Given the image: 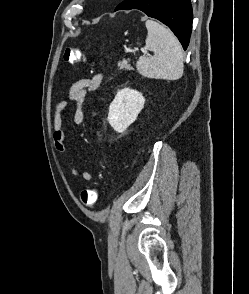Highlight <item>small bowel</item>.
Returning <instances> with one entry per match:
<instances>
[{"mask_svg":"<svg viewBox=\"0 0 249 294\" xmlns=\"http://www.w3.org/2000/svg\"><path fill=\"white\" fill-rule=\"evenodd\" d=\"M102 83V75L97 73L88 78H82L74 82L68 92V98L56 103L53 111V140L55 149L58 152L66 153L67 147L65 140L67 134L63 129L62 113L70 103H75L73 112V121L76 125H82L84 122V103L88 93L96 91ZM71 174L76 178H81L84 181H92L93 176L90 171L80 172L70 162H65Z\"/></svg>","mask_w":249,"mask_h":294,"instance_id":"1","label":"small bowel"}]
</instances>
